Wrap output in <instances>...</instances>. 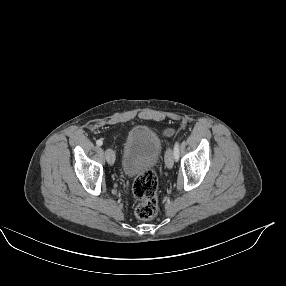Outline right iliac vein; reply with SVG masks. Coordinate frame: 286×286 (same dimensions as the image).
Returning a JSON list of instances; mask_svg holds the SVG:
<instances>
[{
    "label": "right iliac vein",
    "instance_id": "obj_1",
    "mask_svg": "<svg viewBox=\"0 0 286 286\" xmlns=\"http://www.w3.org/2000/svg\"><path fill=\"white\" fill-rule=\"evenodd\" d=\"M105 157L108 162V164L113 165L115 162V153L112 149H106L105 150Z\"/></svg>",
    "mask_w": 286,
    "mask_h": 286
}]
</instances>
